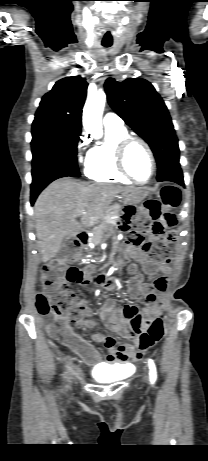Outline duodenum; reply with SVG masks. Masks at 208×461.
<instances>
[{"label": "duodenum", "instance_id": "1", "mask_svg": "<svg viewBox=\"0 0 208 461\" xmlns=\"http://www.w3.org/2000/svg\"><path fill=\"white\" fill-rule=\"evenodd\" d=\"M88 235H89V232L83 230L78 233V238H80L81 241L85 242L87 240Z\"/></svg>", "mask_w": 208, "mask_h": 461}]
</instances>
